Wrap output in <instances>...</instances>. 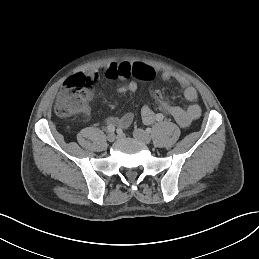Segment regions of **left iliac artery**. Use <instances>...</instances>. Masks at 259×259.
Masks as SVG:
<instances>
[{
  "label": "left iliac artery",
  "instance_id": "obj_1",
  "mask_svg": "<svg viewBox=\"0 0 259 259\" xmlns=\"http://www.w3.org/2000/svg\"><path fill=\"white\" fill-rule=\"evenodd\" d=\"M156 121L161 122L164 119V115L161 113L156 114L155 116Z\"/></svg>",
  "mask_w": 259,
  "mask_h": 259
}]
</instances>
